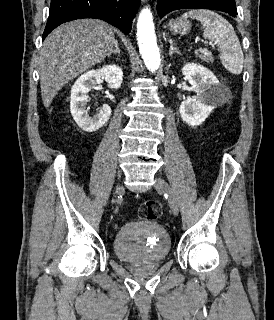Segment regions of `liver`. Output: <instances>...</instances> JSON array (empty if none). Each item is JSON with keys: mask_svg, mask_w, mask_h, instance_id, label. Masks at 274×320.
Here are the masks:
<instances>
[{"mask_svg": "<svg viewBox=\"0 0 274 320\" xmlns=\"http://www.w3.org/2000/svg\"><path fill=\"white\" fill-rule=\"evenodd\" d=\"M113 28L102 20H74L53 30L43 42L39 76L43 106L49 108L59 90L112 54Z\"/></svg>", "mask_w": 274, "mask_h": 320, "instance_id": "obj_1", "label": "liver"}]
</instances>
